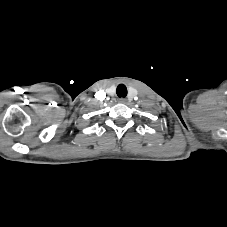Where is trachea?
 Instances as JSON below:
<instances>
[{"label":"trachea","mask_w":227,"mask_h":227,"mask_svg":"<svg viewBox=\"0 0 227 227\" xmlns=\"http://www.w3.org/2000/svg\"><path fill=\"white\" fill-rule=\"evenodd\" d=\"M116 92L119 98L120 97L125 98L127 96V88L123 84L118 85Z\"/></svg>","instance_id":"obj_1"}]
</instances>
